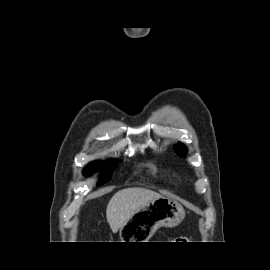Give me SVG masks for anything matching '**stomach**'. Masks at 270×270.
<instances>
[{
	"mask_svg": "<svg viewBox=\"0 0 270 270\" xmlns=\"http://www.w3.org/2000/svg\"><path fill=\"white\" fill-rule=\"evenodd\" d=\"M185 217V210L177 201L160 197L144 204L120 228L121 242H148L160 227H175Z\"/></svg>",
	"mask_w": 270,
	"mask_h": 270,
	"instance_id": "obj_1",
	"label": "stomach"
}]
</instances>
